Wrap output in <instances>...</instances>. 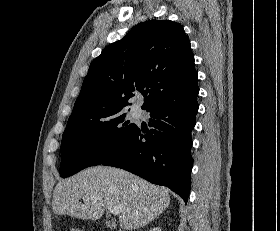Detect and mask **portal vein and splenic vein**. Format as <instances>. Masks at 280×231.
<instances>
[{"instance_id": "1", "label": "portal vein and splenic vein", "mask_w": 280, "mask_h": 231, "mask_svg": "<svg viewBox=\"0 0 280 231\" xmlns=\"http://www.w3.org/2000/svg\"><path fill=\"white\" fill-rule=\"evenodd\" d=\"M120 211H121V207H110V213H114V215H118Z\"/></svg>"}]
</instances>
